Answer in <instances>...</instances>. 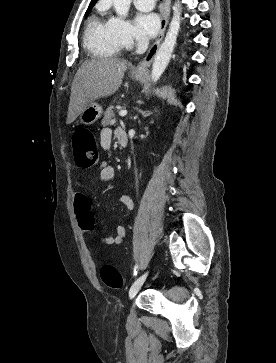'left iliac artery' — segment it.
<instances>
[{
  "label": "left iliac artery",
  "mask_w": 276,
  "mask_h": 363,
  "mask_svg": "<svg viewBox=\"0 0 276 363\" xmlns=\"http://www.w3.org/2000/svg\"><path fill=\"white\" fill-rule=\"evenodd\" d=\"M137 270H138V265H135V267H134V275L135 276L137 275Z\"/></svg>",
  "instance_id": "44dca946"
}]
</instances>
